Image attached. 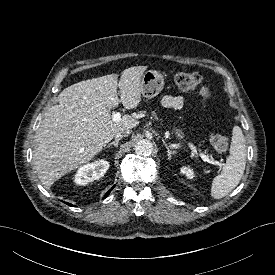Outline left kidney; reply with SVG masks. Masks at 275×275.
<instances>
[{"label":"left kidney","instance_id":"obj_1","mask_svg":"<svg viewBox=\"0 0 275 275\" xmlns=\"http://www.w3.org/2000/svg\"><path fill=\"white\" fill-rule=\"evenodd\" d=\"M182 174H184L188 179H193L195 177L194 172L187 166H182L180 168Z\"/></svg>","mask_w":275,"mask_h":275}]
</instances>
